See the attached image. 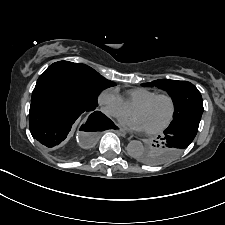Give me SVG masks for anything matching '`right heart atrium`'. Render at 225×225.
I'll list each match as a JSON object with an SVG mask.
<instances>
[{"label":"right heart atrium","instance_id":"obj_1","mask_svg":"<svg viewBox=\"0 0 225 225\" xmlns=\"http://www.w3.org/2000/svg\"><path fill=\"white\" fill-rule=\"evenodd\" d=\"M98 104L102 112L109 117H118L126 111L124 100L113 88L101 91L98 96Z\"/></svg>","mask_w":225,"mask_h":225}]
</instances>
